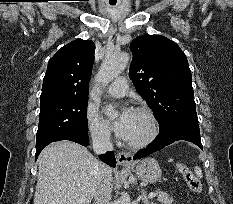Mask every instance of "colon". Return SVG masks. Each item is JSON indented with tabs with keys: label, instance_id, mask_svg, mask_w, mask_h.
Listing matches in <instances>:
<instances>
[{
	"label": "colon",
	"instance_id": "obj_1",
	"mask_svg": "<svg viewBox=\"0 0 233 204\" xmlns=\"http://www.w3.org/2000/svg\"><path fill=\"white\" fill-rule=\"evenodd\" d=\"M177 169L184 177L189 189L194 193H200L202 190V184L199 181V179L194 175L192 170L183 163H178Z\"/></svg>",
	"mask_w": 233,
	"mask_h": 204
}]
</instances>
